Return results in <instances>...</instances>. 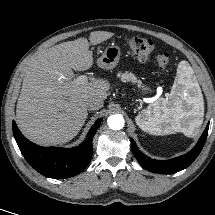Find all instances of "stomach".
I'll return each mask as SVG.
<instances>
[{"mask_svg":"<svg viewBox=\"0 0 215 215\" xmlns=\"http://www.w3.org/2000/svg\"><path fill=\"white\" fill-rule=\"evenodd\" d=\"M121 55V50L116 45L107 46L103 52V54L97 59V64L102 69H113L119 62ZM139 89L141 94H145L150 92V87L147 84H139ZM142 130V124H137Z\"/></svg>","mask_w":215,"mask_h":215,"instance_id":"0dacf381","label":"stomach"}]
</instances>
